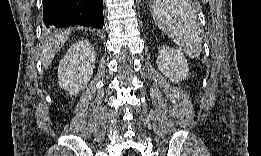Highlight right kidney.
Listing matches in <instances>:
<instances>
[{
	"label": "right kidney",
	"mask_w": 261,
	"mask_h": 156,
	"mask_svg": "<svg viewBox=\"0 0 261 156\" xmlns=\"http://www.w3.org/2000/svg\"><path fill=\"white\" fill-rule=\"evenodd\" d=\"M95 51L88 41L74 43L60 61L58 81L62 89L70 95L83 90L95 69Z\"/></svg>",
	"instance_id": "1"
}]
</instances>
